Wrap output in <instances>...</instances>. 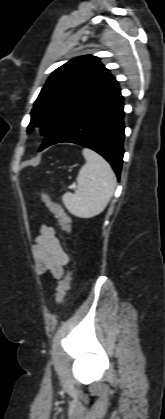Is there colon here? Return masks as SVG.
<instances>
[{
    "label": "colon",
    "mask_w": 165,
    "mask_h": 419,
    "mask_svg": "<svg viewBox=\"0 0 165 419\" xmlns=\"http://www.w3.org/2000/svg\"><path fill=\"white\" fill-rule=\"evenodd\" d=\"M37 196L44 202L50 212L57 219L61 229L65 232H68L70 230V218L62 206L57 201H55L52 195L46 190L38 191ZM70 281L71 271L68 270L60 280L57 287L56 300L59 304H62L65 300L66 294L70 287Z\"/></svg>",
    "instance_id": "1"
}]
</instances>
